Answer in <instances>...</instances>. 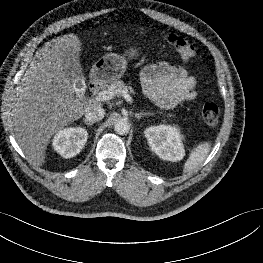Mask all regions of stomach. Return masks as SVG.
<instances>
[{
	"label": "stomach",
	"mask_w": 263,
	"mask_h": 263,
	"mask_svg": "<svg viewBox=\"0 0 263 263\" xmlns=\"http://www.w3.org/2000/svg\"><path fill=\"white\" fill-rule=\"evenodd\" d=\"M139 56V48L131 46L124 56L107 53L92 66L90 78L95 82L111 83L119 80L127 68L128 60Z\"/></svg>",
	"instance_id": "obj_1"
}]
</instances>
